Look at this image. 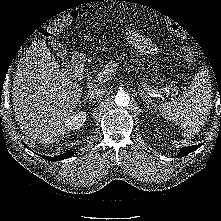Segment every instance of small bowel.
I'll use <instances>...</instances> for the list:
<instances>
[{
    "label": "small bowel",
    "instance_id": "c3829d8e",
    "mask_svg": "<svg viewBox=\"0 0 221 221\" xmlns=\"http://www.w3.org/2000/svg\"><path fill=\"white\" fill-rule=\"evenodd\" d=\"M127 41L140 54L154 55L158 53V47L148 37L135 29L127 32Z\"/></svg>",
    "mask_w": 221,
    "mask_h": 221
}]
</instances>
